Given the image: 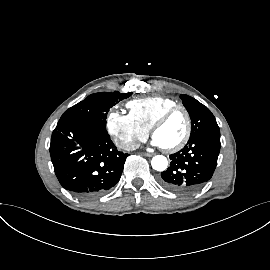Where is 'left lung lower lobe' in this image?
Returning <instances> with one entry per match:
<instances>
[{"label":"left lung lower lobe","mask_w":270,"mask_h":270,"mask_svg":"<svg viewBox=\"0 0 270 270\" xmlns=\"http://www.w3.org/2000/svg\"><path fill=\"white\" fill-rule=\"evenodd\" d=\"M220 147V135L216 134L189 140L182 150L170 155V166L161 173L160 184L181 195L196 192L211 179Z\"/></svg>","instance_id":"0a47b994"}]
</instances>
